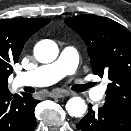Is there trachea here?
I'll list each match as a JSON object with an SVG mask.
<instances>
[{
	"mask_svg": "<svg viewBox=\"0 0 131 131\" xmlns=\"http://www.w3.org/2000/svg\"><path fill=\"white\" fill-rule=\"evenodd\" d=\"M91 86H93L92 83H88L85 85H79V86H77V91H79V92L84 91L85 89H87L88 87H91Z\"/></svg>",
	"mask_w": 131,
	"mask_h": 131,
	"instance_id": "3493384b",
	"label": "trachea"
}]
</instances>
